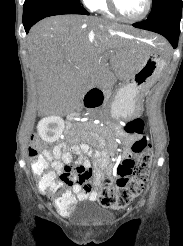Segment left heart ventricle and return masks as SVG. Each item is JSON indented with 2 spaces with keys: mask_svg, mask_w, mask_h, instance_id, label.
I'll use <instances>...</instances> for the list:
<instances>
[{
  "mask_svg": "<svg viewBox=\"0 0 183 246\" xmlns=\"http://www.w3.org/2000/svg\"><path fill=\"white\" fill-rule=\"evenodd\" d=\"M122 14L127 17H137L144 11L146 0H116Z\"/></svg>",
  "mask_w": 183,
  "mask_h": 246,
  "instance_id": "b2bd125f",
  "label": "left heart ventricle"
}]
</instances>
